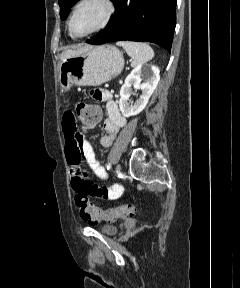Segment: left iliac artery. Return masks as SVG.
<instances>
[{
    "label": "left iliac artery",
    "instance_id": "left-iliac-artery-1",
    "mask_svg": "<svg viewBox=\"0 0 240 288\" xmlns=\"http://www.w3.org/2000/svg\"><path fill=\"white\" fill-rule=\"evenodd\" d=\"M111 168V164L109 163L108 165H107V169L109 170Z\"/></svg>",
    "mask_w": 240,
    "mask_h": 288
}]
</instances>
